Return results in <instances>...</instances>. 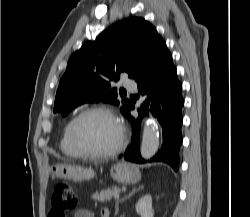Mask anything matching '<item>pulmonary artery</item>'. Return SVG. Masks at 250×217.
<instances>
[{
	"instance_id": "pulmonary-artery-1",
	"label": "pulmonary artery",
	"mask_w": 250,
	"mask_h": 217,
	"mask_svg": "<svg viewBox=\"0 0 250 217\" xmlns=\"http://www.w3.org/2000/svg\"><path fill=\"white\" fill-rule=\"evenodd\" d=\"M123 85L130 91H135L137 89V83L133 80H126L123 82Z\"/></svg>"
}]
</instances>
